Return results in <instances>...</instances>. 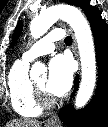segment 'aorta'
<instances>
[{
	"instance_id": "aorta-1",
	"label": "aorta",
	"mask_w": 108,
	"mask_h": 127,
	"mask_svg": "<svg viewBox=\"0 0 108 127\" xmlns=\"http://www.w3.org/2000/svg\"><path fill=\"white\" fill-rule=\"evenodd\" d=\"M58 19L66 21L73 29L80 54L82 79L75 99V107L82 108L92 96L96 81V60L90 26L79 9L70 5H56L41 11L30 24L32 37L44 35ZM46 68L36 62L30 71L32 79L45 75Z\"/></svg>"
}]
</instances>
